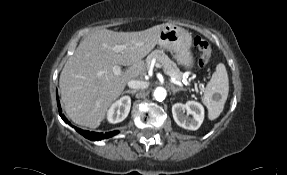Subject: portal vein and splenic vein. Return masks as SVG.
Returning a JSON list of instances; mask_svg holds the SVG:
<instances>
[{
    "label": "portal vein and splenic vein",
    "instance_id": "18ae733b",
    "mask_svg": "<svg viewBox=\"0 0 287 175\" xmlns=\"http://www.w3.org/2000/svg\"><path fill=\"white\" fill-rule=\"evenodd\" d=\"M125 47H126L125 45H116L114 48H115V50H117V51H121V50H123ZM155 67H156V68H159V69H162V66H161L159 63H156V64H155ZM113 73H114L115 75H120V74L122 73L121 67L118 66V65H115V66L113 67ZM170 81L173 82V83H175V84H177V85H179V86L181 85V82H180L179 80H177L175 77H171V78H170ZM182 82H183V84H185V85H189L188 81H184V80H183ZM195 89L198 90L197 87H195Z\"/></svg>",
    "mask_w": 287,
    "mask_h": 175
}]
</instances>
